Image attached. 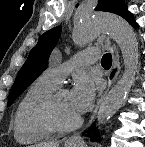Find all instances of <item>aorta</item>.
Returning <instances> with one entry per match:
<instances>
[{"label": "aorta", "mask_w": 145, "mask_h": 147, "mask_svg": "<svg viewBox=\"0 0 145 147\" xmlns=\"http://www.w3.org/2000/svg\"><path fill=\"white\" fill-rule=\"evenodd\" d=\"M100 32H107L119 46L124 62L121 79L112 87L101 102L97 115V127L110 119L125 101L135 81L138 70L139 50L136 34L126 20L113 14H101L79 23L73 32L78 44H85Z\"/></svg>", "instance_id": "aorta-1"}]
</instances>
